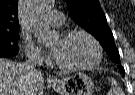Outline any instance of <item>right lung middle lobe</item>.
<instances>
[{"instance_id": "right-lung-middle-lobe-1", "label": "right lung middle lobe", "mask_w": 135, "mask_h": 95, "mask_svg": "<svg viewBox=\"0 0 135 95\" xmlns=\"http://www.w3.org/2000/svg\"><path fill=\"white\" fill-rule=\"evenodd\" d=\"M18 30L0 31V52L18 51Z\"/></svg>"}]
</instances>
